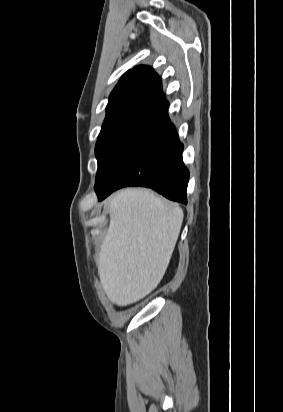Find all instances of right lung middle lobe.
<instances>
[{"label":"right lung middle lobe","mask_w":283,"mask_h":412,"mask_svg":"<svg viewBox=\"0 0 283 412\" xmlns=\"http://www.w3.org/2000/svg\"><path fill=\"white\" fill-rule=\"evenodd\" d=\"M163 114H126L104 120L96 143V182L100 180L140 140L144 132Z\"/></svg>","instance_id":"dd1d6c3e"}]
</instances>
